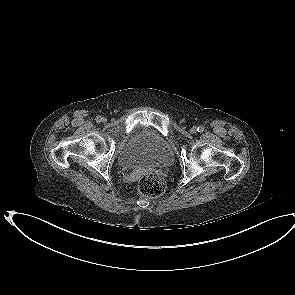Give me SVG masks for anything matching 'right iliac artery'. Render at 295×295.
Listing matches in <instances>:
<instances>
[{
    "label": "right iliac artery",
    "mask_w": 295,
    "mask_h": 295,
    "mask_svg": "<svg viewBox=\"0 0 295 295\" xmlns=\"http://www.w3.org/2000/svg\"><path fill=\"white\" fill-rule=\"evenodd\" d=\"M101 121H102L101 116H97V117H96V122H101Z\"/></svg>",
    "instance_id": "obj_1"
}]
</instances>
